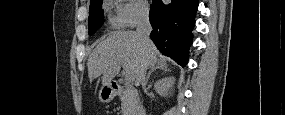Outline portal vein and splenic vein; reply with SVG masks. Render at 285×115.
I'll return each mask as SVG.
<instances>
[{
	"mask_svg": "<svg viewBox=\"0 0 285 115\" xmlns=\"http://www.w3.org/2000/svg\"><path fill=\"white\" fill-rule=\"evenodd\" d=\"M122 67L125 71V81L128 83L131 82L134 79L132 72L128 70V67L125 64H123Z\"/></svg>",
	"mask_w": 285,
	"mask_h": 115,
	"instance_id": "1",
	"label": "portal vein and splenic vein"
}]
</instances>
